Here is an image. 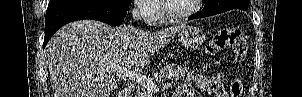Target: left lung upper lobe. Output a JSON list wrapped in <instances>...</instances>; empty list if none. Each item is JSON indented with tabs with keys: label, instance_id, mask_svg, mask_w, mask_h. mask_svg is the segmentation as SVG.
Here are the masks:
<instances>
[{
	"label": "left lung upper lobe",
	"instance_id": "1",
	"mask_svg": "<svg viewBox=\"0 0 302 97\" xmlns=\"http://www.w3.org/2000/svg\"><path fill=\"white\" fill-rule=\"evenodd\" d=\"M205 3V9H214L219 12H225L235 8H247L250 0H202ZM203 8V9H204Z\"/></svg>",
	"mask_w": 302,
	"mask_h": 97
}]
</instances>
